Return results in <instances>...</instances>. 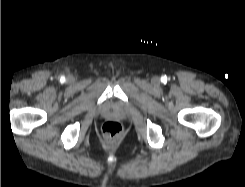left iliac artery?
Instances as JSON below:
<instances>
[{
	"mask_svg": "<svg viewBox=\"0 0 245 187\" xmlns=\"http://www.w3.org/2000/svg\"><path fill=\"white\" fill-rule=\"evenodd\" d=\"M161 81H162L163 83H166L167 77H166V76L162 77V78H161Z\"/></svg>",
	"mask_w": 245,
	"mask_h": 187,
	"instance_id": "left-iliac-artery-1",
	"label": "left iliac artery"
}]
</instances>
